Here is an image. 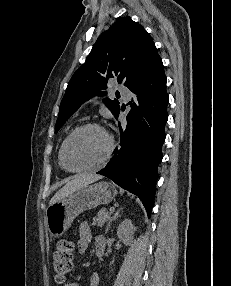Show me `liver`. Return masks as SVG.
<instances>
[{
	"label": "liver",
	"mask_w": 231,
	"mask_h": 286,
	"mask_svg": "<svg viewBox=\"0 0 231 286\" xmlns=\"http://www.w3.org/2000/svg\"><path fill=\"white\" fill-rule=\"evenodd\" d=\"M101 178L102 177L100 175H95V174L77 176L75 179L69 181L65 186H63L60 190H58L55 193V195L51 198L49 205H52L60 201L61 199H63L64 197L72 193L73 191L83 186L89 185L90 183H93Z\"/></svg>",
	"instance_id": "1"
}]
</instances>
